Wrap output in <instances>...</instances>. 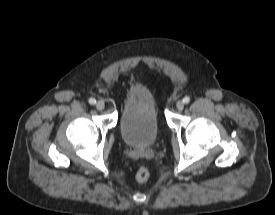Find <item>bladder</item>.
<instances>
[{"instance_id": "bladder-1", "label": "bladder", "mask_w": 275, "mask_h": 215, "mask_svg": "<svg viewBox=\"0 0 275 215\" xmlns=\"http://www.w3.org/2000/svg\"><path fill=\"white\" fill-rule=\"evenodd\" d=\"M123 141L133 147H148L160 130V117L153 93L142 84L132 85L129 102L119 123Z\"/></svg>"}]
</instances>
